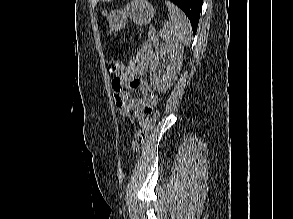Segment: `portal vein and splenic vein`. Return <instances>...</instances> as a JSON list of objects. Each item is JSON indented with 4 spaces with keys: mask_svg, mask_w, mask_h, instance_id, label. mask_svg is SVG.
I'll return each instance as SVG.
<instances>
[{
    "mask_svg": "<svg viewBox=\"0 0 293 219\" xmlns=\"http://www.w3.org/2000/svg\"><path fill=\"white\" fill-rule=\"evenodd\" d=\"M150 29L155 30V27H150Z\"/></svg>",
    "mask_w": 293,
    "mask_h": 219,
    "instance_id": "18ae733b",
    "label": "portal vein and splenic vein"
}]
</instances>
